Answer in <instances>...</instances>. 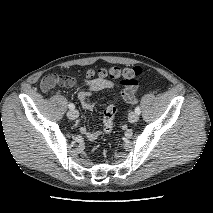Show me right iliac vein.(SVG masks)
Instances as JSON below:
<instances>
[{"label": "right iliac vein", "mask_w": 213, "mask_h": 213, "mask_svg": "<svg viewBox=\"0 0 213 213\" xmlns=\"http://www.w3.org/2000/svg\"><path fill=\"white\" fill-rule=\"evenodd\" d=\"M67 116H68L69 119L75 120V119L78 118L79 114L76 110H70V111L67 112Z\"/></svg>", "instance_id": "right-iliac-vein-1"}]
</instances>
